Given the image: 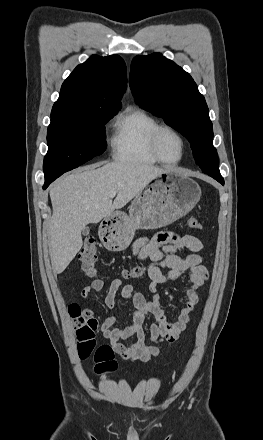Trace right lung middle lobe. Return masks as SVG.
Here are the masks:
<instances>
[{
	"label": "right lung middle lobe",
	"instance_id": "right-lung-middle-lobe-1",
	"mask_svg": "<svg viewBox=\"0 0 263 440\" xmlns=\"http://www.w3.org/2000/svg\"><path fill=\"white\" fill-rule=\"evenodd\" d=\"M117 113L95 112L51 119L44 158L45 180L56 179L106 149L105 124Z\"/></svg>",
	"mask_w": 263,
	"mask_h": 440
}]
</instances>
